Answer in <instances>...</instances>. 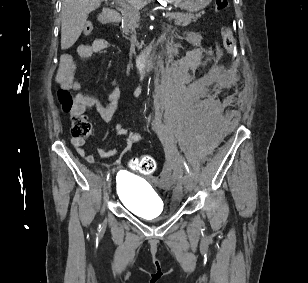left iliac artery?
<instances>
[{
  "instance_id": "left-iliac-artery-1",
  "label": "left iliac artery",
  "mask_w": 308,
  "mask_h": 283,
  "mask_svg": "<svg viewBox=\"0 0 308 283\" xmlns=\"http://www.w3.org/2000/svg\"><path fill=\"white\" fill-rule=\"evenodd\" d=\"M184 166H185V169H186L187 173L191 174L190 167L187 165V163L185 161H184Z\"/></svg>"
}]
</instances>
